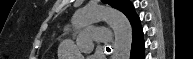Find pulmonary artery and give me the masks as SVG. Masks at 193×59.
Returning a JSON list of instances; mask_svg holds the SVG:
<instances>
[{
	"label": "pulmonary artery",
	"instance_id": "pulmonary-artery-1",
	"mask_svg": "<svg viewBox=\"0 0 193 59\" xmlns=\"http://www.w3.org/2000/svg\"><path fill=\"white\" fill-rule=\"evenodd\" d=\"M107 33L101 28L96 26L82 27L77 32L76 41L82 48H86L89 51L93 50V40L100 42L106 41Z\"/></svg>",
	"mask_w": 193,
	"mask_h": 59
}]
</instances>
